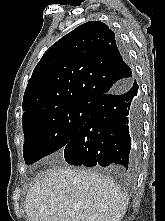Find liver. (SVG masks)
Wrapping results in <instances>:
<instances>
[{"instance_id": "obj_1", "label": "liver", "mask_w": 165, "mask_h": 221, "mask_svg": "<svg viewBox=\"0 0 165 221\" xmlns=\"http://www.w3.org/2000/svg\"><path fill=\"white\" fill-rule=\"evenodd\" d=\"M128 203L109 178L55 166L38 174L24 207L30 221H120Z\"/></svg>"}]
</instances>
